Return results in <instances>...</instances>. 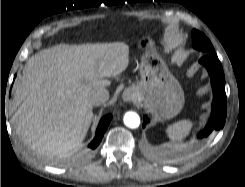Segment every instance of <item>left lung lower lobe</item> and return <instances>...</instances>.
Here are the masks:
<instances>
[{
	"mask_svg": "<svg viewBox=\"0 0 245 187\" xmlns=\"http://www.w3.org/2000/svg\"><path fill=\"white\" fill-rule=\"evenodd\" d=\"M206 67L211 77L213 88L212 112L205 129L200 132L199 138L207 137L212 131L220 130L224 127L227 112V100L225 93V77L222 65L215 53H208L199 61ZM149 119L145 116L143 127Z\"/></svg>",
	"mask_w": 245,
	"mask_h": 187,
	"instance_id": "obj_1",
	"label": "left lung lower lobe"
}]
</instances>
